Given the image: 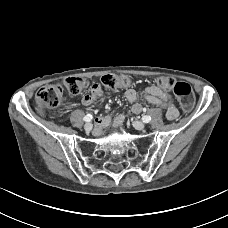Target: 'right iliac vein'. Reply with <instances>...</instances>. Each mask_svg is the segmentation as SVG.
<instances>
[{"instance_id":"obj_1","label":"right iliac vein","mask_w":228,"mask_h":228,"mask_svg":"<svg viewBox=\"0 0 228 228\" xmlns=\"http://www.w3.org/2000/svg\"><path fill=\"white\" fill-rule=\"evenodd\" d=\"M92 127H93V125H92L91 123H86V124L84 125V129H85L86 131H91V130H92Z\"/></svg>"}]
</instances>
